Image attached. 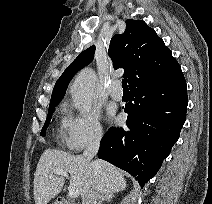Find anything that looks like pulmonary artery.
<instances>
[{"instance_id":"1","label":"pulmonary artery","mask_w":212,"mask_h":204,"mask_svg":"<svg viewBox=\"0 0 212 204\" xmlns=\"http://www.w3.org/2000/svg\"><path fill=\"white\" fill-rule=\"evenodd\" d=\"M109 94L114 100H121L123 97V91L121 89L120 81H114L109 89Z\"/></svg>"}]
</instances>
